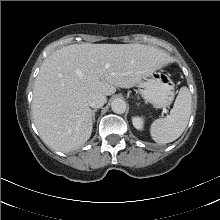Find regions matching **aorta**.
I'll return each mask as SVG.
<instances>
[{
    "mask_svg": "<svg viewBox=\"0 0 220 220\" xmlns=\"http://www.w3.org/2000/svg\"><path fill=\"white\" fill-rule=\"evenodd\" d=\"M127 105L123 99L116 98L111 102V109L114 113L123 114L126 111Z\"/></svg>",
    "mask_w": 220,
    "mask_h": 220,
    "instance_id": "1",
    "label": "aorta"
}]
</instances>
